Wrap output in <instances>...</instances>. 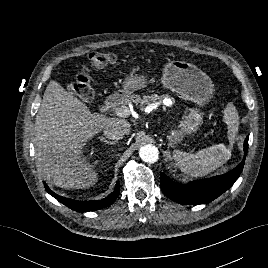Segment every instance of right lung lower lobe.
<instances>
[{"label": "right lung lower lobe", "mask_w": 268, "mask_h": 268, "mask_svg": "<svg viewBox=\"0 0 268 268\" xmlns=\"http://www.w3.org/2000/svg\"><path fill=\"white\" fill-rule=\"evenodd\" d=\"M44 186H45L46 191L50 195L56 198L59 202L63 203L67 207L77 212L94 211V210H99L106 206H109L116 200V198L118 197L120 193V184L119 182H117L115 190L108 197L102 200L79 201V200H73V199H68V198L59 196L55 194L54 192H52L45 183H44Z\"/></svg>", "instance_id": "obj_1"}]
</instances>
